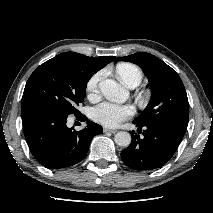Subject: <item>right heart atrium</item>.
Segmentation results:
<instances>
[{
  "mask_svg": "<svg viewBox=\"0 0 213 213\" xmlns=\"http://www.w3.org/2000/svg\"><path fill=\"white\" fill-rule=\"evenodd\" d=\"M103 73L102 72H96L93 74L86 84V94L87 96L92 99L95 98L99 91V82L102 79Z\"/></svg>",
  "mask_w": 213,
  "mask_h": 213,
  "instance_id": "1",
  "label": "right heart atrium"
}]
</instances>
